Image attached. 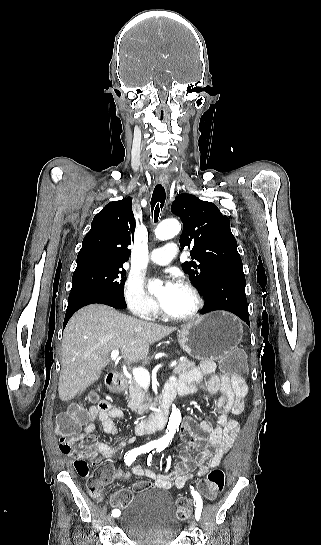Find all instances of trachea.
Masks as SVG:
<instances>
[{"label": "trachea", "mask_w": 321, "mask_h": 545, "mask_svg": "<svg viewBox=\"0 0 321 545\" xmlns=\"http://www.w3.org/2000/svg\"><path fill=\"white\" fill-rule=\"evenodd\" d=\"M158 181H161V178H158ZM150 203L152 217H154V221L156 223L158 221L160 210H162L165 203V190L162 185H157L155 187Z\"/></svg>", "instance_id": "3493384b"}]
</instances>
